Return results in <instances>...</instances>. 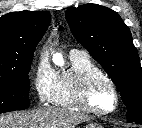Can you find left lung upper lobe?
I'll list each match as a JSON object with an SVG mask.
<instances>
[{
	"label": "left lung upper lobe",
	"instance_id": "obj_1",
	"mask_svg": "<svg viewBox=\"0 0 142 128\" xmlns=\"http://www.w3.org/2000/svg\"><path fill=\"white\" fill-rule=\"evenodd\" d=\"M66 19L75 38L101 64L127 106V121L142 125V68L127 25L97 4L71 7Z\"/></svg>",
	"mask_w": 142,
	"mask_h": 128
}]
</instances>
